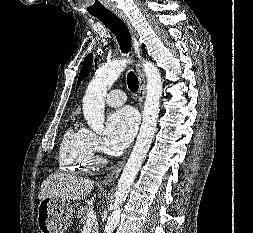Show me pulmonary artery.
<instances>
[{
  "label": "pulmonary artery",
  "mask_w": 253,
  "mask_h": 233,
  "mask_svg": "<svg viewBox=\"0 0 253 233\" xmlns=\"http://www.w3.org/2000/svg\"><path fill=\"white\" fill-rule=\"evenodd\" d=\"M105 101L111 107H119L126 102V95L121 90H112L107 94Z\"/></svg>",
  "instance_id": "1"
}]
</instances>
